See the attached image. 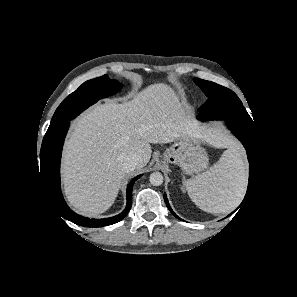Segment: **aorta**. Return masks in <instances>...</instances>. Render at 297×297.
Wrapping results in <instances>:
<instances>
[{"mask_svg": "<svg viewBox=\"0 0 297 297\" xmlns=\"http://www.w3.org/2000/svg\"><path fill=\"white\" fill-rule=\"evenodd\" d=\"M149 181L153 186H159L163 183V175L160 172H153L149 177Z\"/></svg>", "mask_w": 297, "mask_h": 297, "instance_id": "762f6f07", "label": "aorta"}]
</instances>
